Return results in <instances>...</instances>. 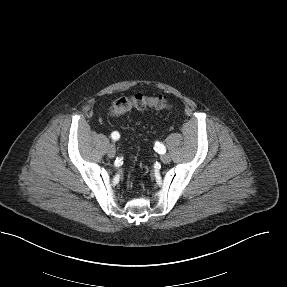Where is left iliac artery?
Wrapping results in <instances>:
<instances>
[{"label": "left iliac artery", "mask_w": 287, "mask_h": 287, "mask_svg": "<svg viewBox=\"0 0 287 287\" xmlns=\"http://www.w3.org/2000/svg\"><path fill=\"white\" fill-rule=\"evenodd\" d=\"M155 151L158 152L159 154H164L166 152V147L160 143V142H156L155 143V147H154Z\"/></svg>", "instance_id": "obj_1"}]
</instances>
